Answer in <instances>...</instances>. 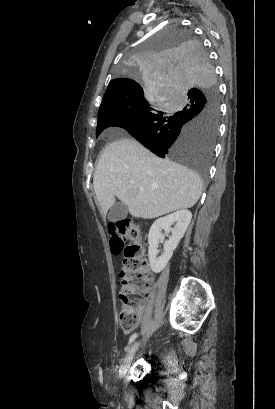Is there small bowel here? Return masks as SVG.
Listing matches in <instances>:
<instances>
[{"label":"small bowel","mask_w":275,"mask_h":409,"mask_svg":"<svg viewBox=\"0 0 275 409\" xmlns=\"http://www.w3.org/2000/svg\"><path fill=\"white\" fill-rule=\"evenodd\" d=\"M116 282H117V283H120V282H121V279H120V278H117V279H116ZM126 334H127V333H126Z\"/></svg>","instance_id":"obj_1"}]
</instances>
